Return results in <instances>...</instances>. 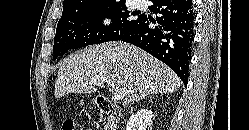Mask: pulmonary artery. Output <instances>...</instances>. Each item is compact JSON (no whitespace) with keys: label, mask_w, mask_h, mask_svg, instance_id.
I'll use <instances>...</instances> for the list:
<instances>
[{"label":"pulmonary artery","mask_w":249,"mask_h":130,"mask_svg":"<svg viewBox=\"0 0 249 130\" xmlns=\"http://www.w3.org/2000/svg\"><path fill=\"white\" fill-rule=\"evenodd\" d=\"M136 5L140 7L142 5V0H136Z\"/></svg>","instance_id":"pulmonary-artery-1"}]
</instances>
